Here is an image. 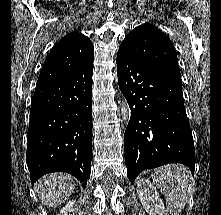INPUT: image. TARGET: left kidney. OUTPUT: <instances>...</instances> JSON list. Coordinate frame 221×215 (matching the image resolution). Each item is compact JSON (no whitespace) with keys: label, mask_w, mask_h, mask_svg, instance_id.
Listing matches in <instances>:
<instances>
[{"label":"left kidney","mask_w":221,"mask_h":215,"mask_svg":"<svg viewBox=\"0 0 221 215\" xmlns=\"http://www.w3.org/2000/svg\"><path fill=\"white\" fill-rule=\"evenodd\" d=\"M137 192L143 208L149 215H169L156 187L149 180L138 179Z\"/></svg>","instance_id":"left-kidney-1"}]
</instances>
